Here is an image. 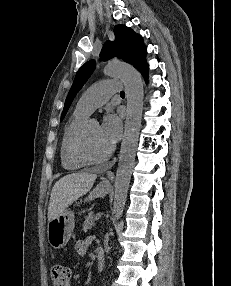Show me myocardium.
Wrapping results in <instances>:
<instances>
[{
  "mask_svg": "<svg viewBox=\"0 0 231 286\" xmlns=\"http://www.w3.org/2000/svg\"><path fill=\"white\" fill-rule=\"evenodd\" d=\"M91 120H86L83 125L78 130L72 145V153L76 160L81 162L84 165H98L106 162L113 154L114 146L112 145L109 151L100 158L91 157L87 151L85 146L86 135L88 131V126Z\"/></svg>",
  "mask_w": 231,
  "mask_h": 286,
  "instance_id": "obj_1",
  "label": "myocardium"
}]
</instances>
